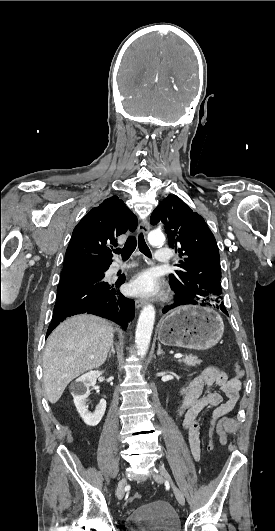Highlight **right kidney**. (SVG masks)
Masks as SVG:
<instances>
[{
    "label": "right kidney",
    "instance_id": "ca27d5eb",
    "mask_svg": "<svg viewBox=\"0 0 275 531\" xmlns=\"http://www.w3.org/2000/svg\"><path fill=\"white\" fill-rule=\"evenodd\" d=\"M102 373L103 371H89V373H85V375L76 379L70 387L74 405L82 421H84L85 425H89V427H96L106 411L105 399H100V403H98L94 413H89L88 405H86V401L90 395V387H95L96 381Z\"/></svg>",
    "mask_w": 275,
    "mask_h": 531
}]
</instances>
